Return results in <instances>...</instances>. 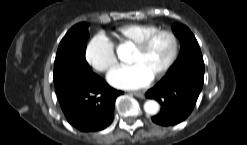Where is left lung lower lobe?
I'll use <instances>...</instances> for the list:
<instances>
[{
  "label": "left lung lower lobe",
  "mask_w": 247,
  "mask_h": 145,
  "mask_svg": "<svg viewBox=\"0 0 247 145\" xmlns=\"http://www.w3.org/2000/svg\"><path fill=\"white\" fill-rule=\"evenodd\" d=\"M204 63L182 64L168 71L163 79L148 90L146 97L161 104V111L152 118L163 126L185 120L193 110L203 86Z\"/></svg>",
  "instance_id": "0a47b994"
}]
</instances>
